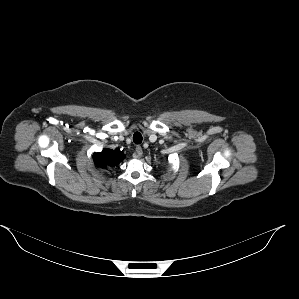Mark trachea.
<instances>
[{
    "mask_svg": "<svg viewBox=\"0 0 299 299\" xmlns=\"http://www.w3.org/2000/svg\"><path fill=\"white\" fill-rule=\"evenodd\" d=\"M133 142L135 144H140L142 142V135L139 132H135L133 135Z\"/></svg>",
    "mask_w": 299,
    "mask_h": 299,
    "instance_id": "1",
    "label": "trachea"
}]
</instances>
